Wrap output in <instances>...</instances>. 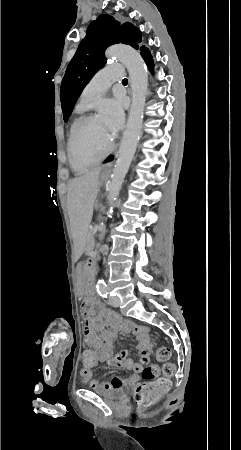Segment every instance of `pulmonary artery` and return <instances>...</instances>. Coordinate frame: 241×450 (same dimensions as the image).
<instances>
[{"mask_svg":"<svg viewBox=\"0 0 241 450\" xmlns=\"http://www.w3.org/2000/svg\"><path fill=\"white\" fill-rule=\"evenodd\" d=\"M122 70V64H103L102 69H98L97 74L94 76V81L96 83L92 85V90L94 92H101L103 90V85L101 83H105L107 78H122ZM92 90H87L86 94L92 95Z\"/></svg>","mask_w":241,"mask_h":450,"instance_id":"obj_1","label":"pulmonary artery"}]
</instances>
